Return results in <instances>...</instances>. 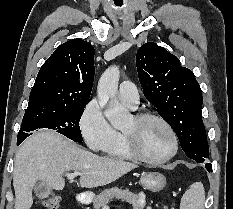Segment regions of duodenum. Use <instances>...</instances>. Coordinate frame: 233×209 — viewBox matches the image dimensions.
I'll return each instance as SVG.
<instances>
[{
	"label": "duodenum",
	"instance_id": "obj_1",
	"mask_svg": "<svg viewBox=\"0 0 233 209\" xmlns=\"http://www.w3.org/2000/svg\"><path fill=\"white\" fill-rule=\"evenodd\" d=\"M77 201L81 204H86L87 203V197L84 194H79L77 196Z\"/></svg>",
	"mask_w": 233,
	"mask_h": 209
}]
</instances>
